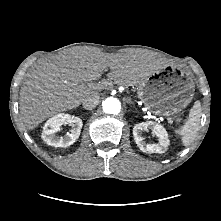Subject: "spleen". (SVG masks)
Segmentation results:
<instances>
[{"label":"spleen","instance_id":"obj_1","mask_svg":"<svg viewBox=\"0 0 221 221\" xmlns=\"http://www.w3.org/2000/svg\"><path fill=\"white\" fill-rule=\"evenodd\" d=\"M200 117L201 109L198 104H195L189 113L188 120L178 131L184 146H189L195 140L199 130Z\"/></svg>","mask_w":221,"mask_h":221}]
</instances>
